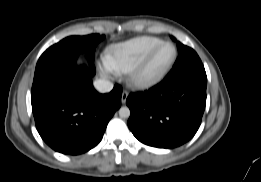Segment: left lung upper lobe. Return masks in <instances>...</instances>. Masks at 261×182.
<instances>
[{"label":"left lung upper lobe","mask_w":261,"mask_h":182,"mask_svg":"<svg viewBox=\"0 0 261 182\" xmlns=\"http://www.w3.org/2000/svg\"><path fill=\"white\" fill-rule=\"evenodd\" d=\"M173 40H175V38H173ZM177 47L179 51L178 60L166 77H175L188 72L205 70L199 56L192 48L180 42L177 43Z\"/></svg>","instance_id":"obj_1"}]
</instances>
